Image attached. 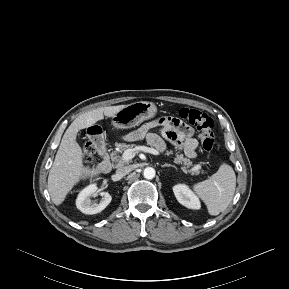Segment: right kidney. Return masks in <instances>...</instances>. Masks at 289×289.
<instances>
[{
	"instance_id": "right-kidney-1",
	"label": "right kidney",
	"mask_w": 289,
	"mask_h": 289,
	"mask_svg": "<svg viewBox=\"0 0 289 289\" xmlns=\"http://www.w3.org/2000/svg\"><path fill=\"white\" fill-rule=\"evenodd\" d=\"M101 195L102 198L99 203H93L90 198ZM112 197L107 192H100L96 184H91L85 187L78 195L76 200L77 208L84 214H97L104 210L111 202Z\"/></svg>"
}]
</instances>
